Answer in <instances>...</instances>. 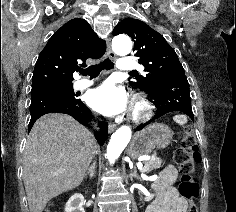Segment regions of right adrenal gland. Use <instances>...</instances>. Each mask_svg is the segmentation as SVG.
I'll list each match as a JSON object with an SVG mask.
<instances>
[{
    "label": "right adrenal gland",
    "mask_w": 236,
    "mask_h": 212,
    "mask_svg": "<svg viewBox=\"0 0 236 212\" xmlns=\"http://www.w3.org/2000/svg\"><path fill=\"white\" fill-rule=\"evenodd\" d=\"M95 170H96V162L94 161L92 165L89 167L84 177L87 178L89 176L90 178H93L95 175Z\"/></svg>",
    "instance_id": "obj_1"
}]
</instances>
